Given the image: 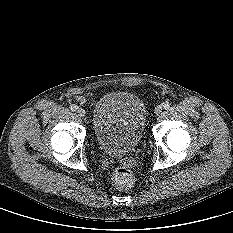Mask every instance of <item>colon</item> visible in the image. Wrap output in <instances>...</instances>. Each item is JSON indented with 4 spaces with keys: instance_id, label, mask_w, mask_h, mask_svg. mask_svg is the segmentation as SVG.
<instances>
[{
    "instance_id": "5ec220e1",
    "label": "colon",
    "mask_w": 233,
    "mask_h": 233,
    "mask_svg": "<svg viewBox=\"0 0 233 233\" xmlns=\"http://www.w3.org/2000/svg\"><path fill=\"white\" fill-rule=\"evenodd\" d=\"M112 179L115 186L121 190L129 189L134 183L133 173L126 167H118Z\"/></svg>"
}]
</instances>
